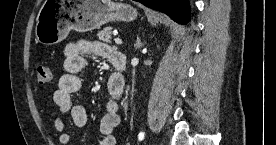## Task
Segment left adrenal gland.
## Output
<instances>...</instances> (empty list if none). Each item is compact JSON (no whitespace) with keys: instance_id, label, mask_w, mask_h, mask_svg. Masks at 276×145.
Returning <instances> with one entry per match:
<instances>
[{"instance_id":"a2214340","label":"left adrenal gland","mask_w":276,"mask_h":145,"mask_svg":"<svg viewBox=\"0 0 276 145\" xmlns=\"http://www.w3.org/2000/svg\"><path fill=\"white\" fill-rule=\"evenodd\" d=\"M142 46H143V44L141 43L140 38L137 37L136 44H135V48H136V49H139V48H141Z\"/></svg>"}]
</instances>
